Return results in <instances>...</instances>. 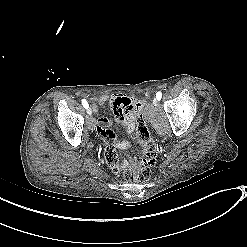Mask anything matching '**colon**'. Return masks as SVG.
Listing matches in <instances>:
<instances>
[{
    "mask_svg": "<svg viewBox=\"0 0 247 247\" xmlns=\"http://www.w3.org/2000/svg\"><path fill=\"white\" fill-rule=\"evenodd\" d=\"M136 136L139 142V150L136 155L125 160L126 168L122 178L127 182L140 183L150 180L152 168L158 161L159 149L146 126L143 116L137 123Z\"/></svg>",
    "mask_w": 247,
    "mask_h": 247,
    "instance_id": "1",
    "label": "colon"
}]
</instances>
